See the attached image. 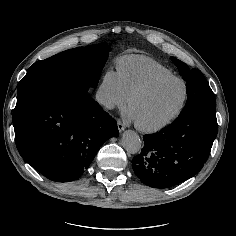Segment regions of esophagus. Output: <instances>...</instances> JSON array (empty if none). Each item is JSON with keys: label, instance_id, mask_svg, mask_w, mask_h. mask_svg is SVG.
I'll list each match as a JSON object with an SVG mask.
<instances>
[{"label": "esophagus", "instance_id": "esophagus-1", "mask_svg": "<svg viewBox=\"0 0 236 236\" xmlns=\"http://www.w3.org/2000/svg\"><path fill=\"white\" fill-rule=\"evenodd\" d=\"M117 127L120 132H122L125 129V126L121 120H117Z\"/></svg>", "mask_w": 236, "mask_h": 236}]
</instances>
